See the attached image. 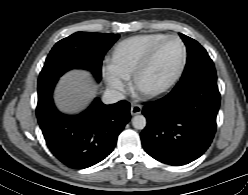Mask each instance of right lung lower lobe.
Here are the masks:
<instances>
[{
  "label": "right lung lower lobe",
  "instance_id": "98d812e1",
  "mask_svg": "<svg viewBox=\"0 0 248 195\" xmlns=\"http://www.w3.org/2000/svg\"><path fill=\"white\" fill-rule=\"evenodd\" d=\"M58 79L38 86L36 115L46 144L66 166L84 169L105 159L114 149L117 137L130 120L127 101L105 105L98 98L83 113H60L52 99Z\"/></svg>",
  "mask_w": 248,
  "mask_h": 195
}]
</instances>
